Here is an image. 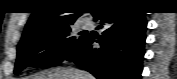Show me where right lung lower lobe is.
<instances>
[{
	"label": "right lung lower lobe",
	"mask_w": 177,
	"mask_h": 79,
	"mask_svg": "<svg viewBox=\"0 0 177 79\" xmlns=\"http://www.w3.org/2000/svg\"><path fill=\"white\" fill-rule=\"evenodd\" d=\"M102 36L86 34L65 59L92 73L97 79H140L144 56L145 13L112 5L98 11ZM99 43L100 47H96Z\"/></svg>",
	"instance_id": "98d812e1"
}]
</instances>
